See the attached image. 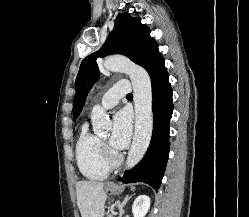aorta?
<instances>
[{"label":"aorta","instance_id":"1","mask_svg":"<svg viewBox=\"0 0 249 217\" xmlns=\"http://www.w3.org/2000/svg\"><path fill=\"white\" fill-rule=\"evenodd\" d=\"M103 66L110 71L127 73L132 82L135 105V131L126 162L127 168L131 169L145 155L152 137L151 79L145 69L120 56L107 57ZM91 121L93 129L97 133L107 130L110 126L105 111L99 105L93 107Z\"/></svg>","mask_w":249,"mask_h":217}]
</instances>
